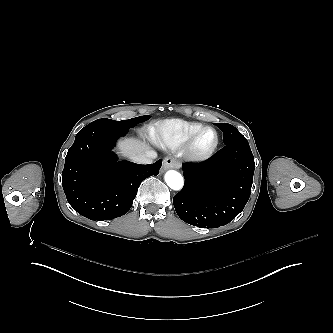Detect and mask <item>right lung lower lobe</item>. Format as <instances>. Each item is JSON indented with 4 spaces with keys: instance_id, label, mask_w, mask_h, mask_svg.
Wrapping results in <instances>:
<instances>
[{
    "instance_id": "right-lung-lower-lobe-1",
    "label": "right lung lower lobe",
    "mask_w": 333,
    "mask_h": 333,
    "mask_svg": "<svg viewBox=\"0 0 333 333\" xmlns=\"http://www.w3.org/2000/svg\"><path fill=\"white\" fill-rule=\"evenodd\" d=\"M128 131L90 123L69 148L62 172L68 203L91 220H110L128 212L141 182L158 175L162 160L139 165L118 161L111 152L115 141Z\"/></svg>"
}]
</instances>
